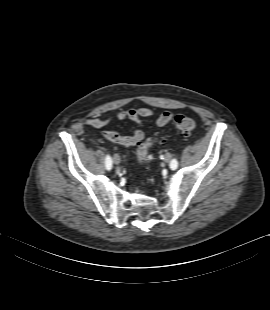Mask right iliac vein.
Segmentation results:
<instances>
[{"instance_id": "obj_1", "label": "right iliac vein", "mask_w": 270, "mask_h": 310, "mask_svg": "<svg viewBox=\"0 0 270 310\" xmlns=\"http://www.w3.org/2000/svg\"><path fill=\"white\" fill-rule=\"evenodd\" d=\"M113 161L115 164H119L121 162V158L118 155H114Z\"/></svg>"}]
</instances>
